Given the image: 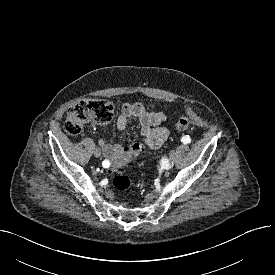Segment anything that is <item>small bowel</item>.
I'll list each match as a JSON object with an SVG mask.
<instances>
[{
  "label": "small bowel",
  "mask_w": 275,
  "mask_h": 275,
  "mask_svg": "<svg viewBox=\"0 0 275 275\" xmlns=\"http://www.w3.org/2000/svg\"><path fill=\"white\" fill-rule=\"evenodd\" d=\"M130 117L137 118L140 124V133L142 137V146L145 145L151 149L160 148L168 138L169 131L162 126L167 117L162 112H150L140 103H125L121 108V113L117 118L116 126L119 130H125ZM99 145L106 160L115 161L127 157L130 154L131 147L125 148L122 144H108L104 140L99 141Z\"/></svg>",
  "instance_id": "small-bowel-1"
}]
</instances>
